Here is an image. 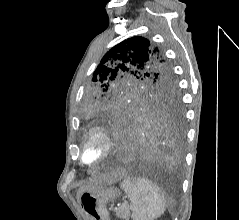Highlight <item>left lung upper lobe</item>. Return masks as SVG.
Here are the masks:
<instances>
[{
	"instance_id": "1",
	"label": "left lung upper lobe",
	"mask_w": 239,
	"mask_h": 220,
	"mask_svg": "<svg viewBox=\"0 0 239 220\" xmlns=\"http://www.w3.org/2000/svg\"><path fill=\"white\" fill-rule=\"evenodd\" d=\"M81 106L84 119L96 121L105 111L182 112L175 76L163 51L152 41L132 37L102 58Z\"/></svg>"
}]
</instances>
